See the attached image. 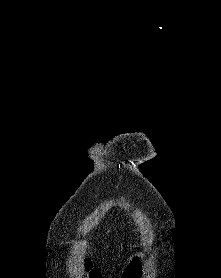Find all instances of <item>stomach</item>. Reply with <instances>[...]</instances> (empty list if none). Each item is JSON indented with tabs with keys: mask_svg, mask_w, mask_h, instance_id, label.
I'll return each mask as SVG.
<instances>
[{
	"mask_svg": "<svg viewBox=\"0 0 221 278\" xmlns=\"http://www.w3.org/2000/svg\"><path fill=\"white\" fill-rule=\"evenodd\" d=\"M132 258L136 259L137 255L133 254ZM139 262H148V257H139ZM123 269H143V264L131 262V264H123ZM142 274V270H121V275H124V278H142Z\"/></svg>",
	"mask_w": 221,
	"mask_h": 278,
	"instance_id": "1",
	"label": "stomach"
}]
</instances>
